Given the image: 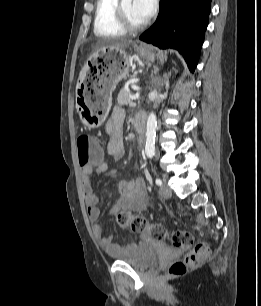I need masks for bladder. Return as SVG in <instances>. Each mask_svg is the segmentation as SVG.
<instances>
[{
  "label": "bladder",
  "mask_w": 261,
  "mask_h": 306,
  "mask_svg": "<svg viewBox=\"0 0 261 306\" xmlns=\"http://www.w3.org/2000/svg\"><path fill=\"white\" fill-rule=\"evenodd\" d=\"M110 258L136 269H147L157 263L158 254L153 240L142 239L125 253L115 254Z\"/></svg>",
  "instance_id": "31cf9c89"
}]
</instances>
